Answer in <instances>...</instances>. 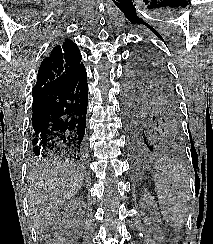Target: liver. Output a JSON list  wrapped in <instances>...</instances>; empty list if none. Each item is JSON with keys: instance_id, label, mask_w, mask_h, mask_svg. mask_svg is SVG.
Listing matches in <instances>:
<instances>
[{"instance_id": "1", "label": "liver", "mask_w": 213, "mask_h": 244, "mask_svg": "<svg viewBox=\"0 0 213 244\" xmlns=\"http://www.w3.org/2000/svg\"><path fill=\"white\" fill-rule=\"evenodd\" d=\"M27 180L31 219L37 232L42 233L58 208L81 190L84 175L76 164L52 158L37 165Z\"/></svg>"}]
</instances>
